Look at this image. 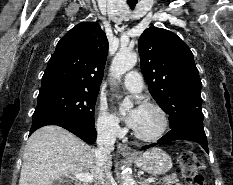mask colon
<instances>
[{"label":"colon","mask_w":233,"mask_h":185,"mask_svg":"<svg viewBox=\"0 0 233 185\" xmlns=\"http://www.w3.org/2000/svg\"><path fill=\"white\" fill-rule=\"evenodd\" d=\"M178 171L190 185H206L203 176L198 172L197 158L191 150L181 153Z\"/></svg>","instance_id":"1"}]
</instances>
